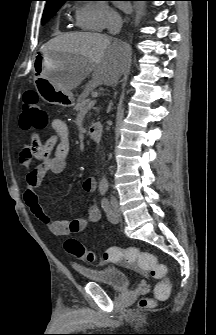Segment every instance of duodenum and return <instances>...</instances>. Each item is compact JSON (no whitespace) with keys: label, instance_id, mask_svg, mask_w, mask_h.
<instances>
[{"label":"duodenum","instance_id":"410a0bca","mask_svg":"<svg viewBox=\"0 0 216 335\" xmlns=\"http://www.w3.org/2000/svg\"><path fill=\"white\" fill-rule=\"evenodd\" d=\"M88 135L95 142H99L102 136V125L99 123L91 125L88 129Z\"/></svg>","mask_w":216,"mask_h":335}]
</instances>
